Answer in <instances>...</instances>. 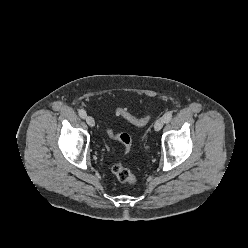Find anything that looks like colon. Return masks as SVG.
Here are the masks:
<instances>
[{
    "label": "colon",
    "instance_id": "colon-1",
    "mask_svg": "<svg viewBox=\"0 0 248 248\" xmlns=\"http://www.w3.org/2000/svg\"><path fill=\"white\" fill-rule=\"evenodd\" d=\"M115 113L130 122L131 124L139 127L146 125L151 119V115L149 114L141 118L136 117L132 115L126 108L123 107H117L115 109ZM108 133L112 138L118 140L123 145L126 154L130 153L132 147V139L129 134H115L111 129L108 130ZM112 173L120 182L129 184H134L137 182V177L129 169H127L120 163L113 165Z\"/></svg>",
    "mask_w": 248,
    "mask_h": 248
}]
</instances>
